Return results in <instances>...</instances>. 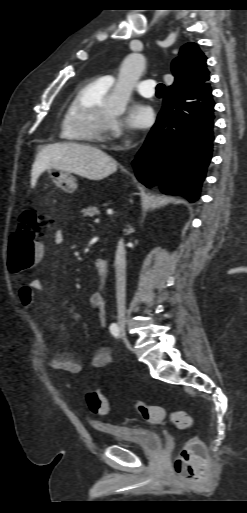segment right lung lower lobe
Wrapping results in <instances>:
<instances>
[{
    "label": "right lung lower lobe",
    "instance_id": "obj_1",
    "mask_svg": "<svg viewBox=\"0 0 247 513\" xmlns=\"http://www.w3.org/2000/svg\"><path fill=\"white\" fill-rule=\"evenodd\" d=\"M214 101L207 83L193 92L166 91L143 147L133 161L136 177L147 187L198 199L213 146Z\"/></svg>",
    "mask_w": 247,
    "mask_h": 513
}]
</instances>
